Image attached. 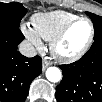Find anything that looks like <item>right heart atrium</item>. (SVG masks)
Here are the masks:
<instances>
[{
    "instance_id": "obj_1",
    "label": "right heart atrium",
    "mask_w": 102,
    "mask_h": 102,
    "mask_svg": "<svg viewBox=\"0 0 102 102\" xmlns=\"http://www.w3.org/2000/svg\"><path fill=\"white\" fill-rule=\"evenodd\" d=\"M23 32L26 38L39 50H43L44 44L42 39L34 32L33 29L28 27L27 25L23 26Z\"/></svg>"
}]
</instances>
